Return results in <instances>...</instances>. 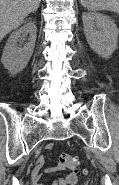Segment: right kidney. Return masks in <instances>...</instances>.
I'll return each instance as SVG.
<instances>
[{
	"mask_svg": "<svg viewBox=\"0 0 119 185\" xmlns=\"http://www.w3.org/2000/svg\"><path fill=\"white\" fill-rule=\"evenodd\" d=\"M36 31L35 23L29 21L10 35L1 62L12 75L21 72L27 66L33 54ZM27 34H29L28 42L24 43L22 37Z\"/></svg>",
	"mask_w": 119,
	"mask_h": 185,
	"instance_id": "1",
	"label": "right kidney"
}]
</instances>
